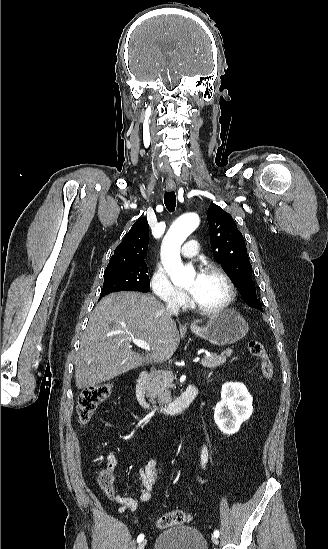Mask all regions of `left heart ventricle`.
I'll use <instances>...</instances> for the list:
<instances>
[{"label":"left heart ventricle","mask_w":328,"mask_h":549,"mask_svg":"<svg viewBox=\"0 0 328 549\" xmlns=\"http://www.w3.org/2000/svg\"><path fill=\"white\" fill-rule=\"evenodd\" d=\"M185 289L195 301L207 308L215 307L227 295L226 283L216 272L199 274L193 272L185 285Z\"/></svg>","instance_id":"b2bd125f"}]
</instances>
